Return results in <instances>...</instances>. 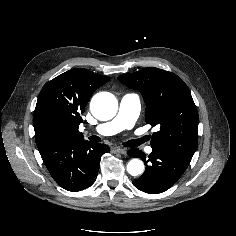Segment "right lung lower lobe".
I'll return each instance as SVG.
<instances>
[{
  "instance_id": "98d812e1",
  "label": "right lung lower lobe",
  "mask_w": 236,
  "mask_h": 236,
  "mask_svg": "<svg viewBox=\"0 0 236 236\" xmlns=\"http://www.w3.org/2000/svg\"><path fill=\"white\" fill-rule=\"evenodd\" d=\"M38 149L54 180L71 192L83 190L95 182L101 156L110 152L107 145L83 138H68Z\"/></svg>"
}]
</instances>
